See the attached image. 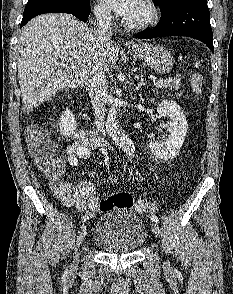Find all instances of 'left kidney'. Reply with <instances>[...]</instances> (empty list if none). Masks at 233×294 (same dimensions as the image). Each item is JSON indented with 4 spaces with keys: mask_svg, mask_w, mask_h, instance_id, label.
<instances>
[{
    "mask_svg": "<svg viewBox=\"0 0 233 294\" xmlns=\"http://www.w3.org/2000/svg\"><path fill=\"white\" fill-rule=\"evenodd\" d=\"M157 112L159 116L170 119V122L161 125L168 130L169 135L164 141H151L149 148L157 158L165 161L172 160L183 145L188 122L181 107L173 100H163L157 105Z\"/></svg>",
    "mask_w": 233,
    "mask_h": 294,
    "instance_id": "1",
    "label": "left kidney"
}]
</instances>
